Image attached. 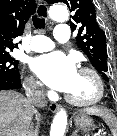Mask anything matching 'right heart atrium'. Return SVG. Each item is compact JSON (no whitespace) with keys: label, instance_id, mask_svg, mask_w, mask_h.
<instances>
[{"label":"right heart atrium","instance_id":"obj_1","mask_svg":"<svg viewBox=\"0 0 117 136\" xmlns=\"http://www.w3.org/2000/svg\"><path fill=\"white\" fill-rule=\"evenodd\" d=\"M24 87L28 95L33 97H42L44 90L42 84L32 76L25 79Z\"/></svg>","mask_w":117,"mask_h":136}]
</instances>
